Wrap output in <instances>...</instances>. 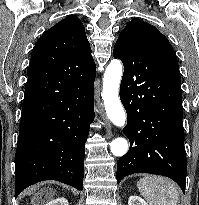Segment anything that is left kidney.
Here are the masks:
<instances>
[{
    "mask_svg": "<svg viewBox=\"0 0 199 205\" xmlns=\"http://www.w3.org/2000/svg\"><path fill=\"white\" fill-rule=\"evenodd\" d=\"M128 205H148L140 196H130Z\"/></svg>",
    "mask_w": 199,
    "mask_h": 205,
    "instance_id": "5707ae66",
    "label": "left kidney"
}]
</instances>
